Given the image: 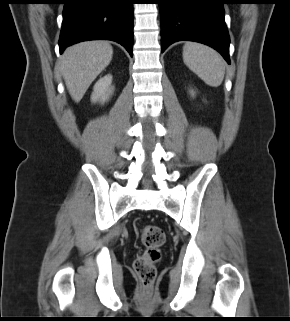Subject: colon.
<instances>
[{
	"mask_svg": "<svg viewBox=\"0 0 290 321\" xmlns=\"http://www.w3.org/2000/svg\"><path fill=\"white\" fill-rule=\"evenodd\" d=\"M144 252L135 260L134 270L142 285L149 286L156 276V264L161 259L160 247L165 241L164 231L156 225L144 226L141 230Z\"/></svg>",
	"mask_w": 290,
	"mask_h": 321,
	"instance_id": "1",
	"label": "colon"
}]
</instances>
